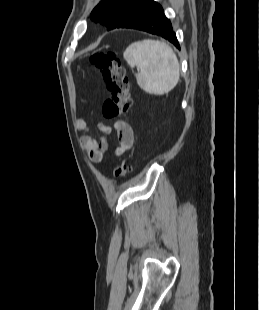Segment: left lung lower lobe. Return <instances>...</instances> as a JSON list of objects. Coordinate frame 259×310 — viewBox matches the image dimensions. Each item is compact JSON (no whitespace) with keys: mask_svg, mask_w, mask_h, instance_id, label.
Here are the masks:
<instances>
[{"mask_svg":"<svg viewBox=\"0 0 259 310\" xmlns=\"http://www.w3.org/2000/svg\"><path fill=\"white\" fill-rule=\"evenodd\" d=\"M115 28H133L156 34L180 48L171 22L165 16L161 5L153 0L128 12Z\"/></svg>","mask_w":259,"mask_h":310,"instance_id":"1","label":"left lung lower lobe"}]
</instances>
